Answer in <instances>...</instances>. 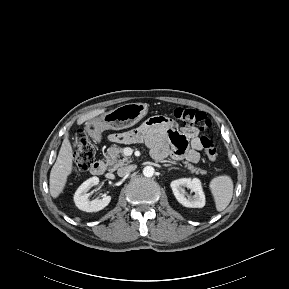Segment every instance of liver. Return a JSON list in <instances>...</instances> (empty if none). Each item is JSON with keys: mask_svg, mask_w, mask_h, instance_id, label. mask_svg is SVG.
I'll return each mask as SVG.
<instances>
[{"mask_svg": "<svg viewBox=\"0 0 289 289\" xmlns=\"http://www.w3.org/2000/svg\"><path fill=\"white\" fill-rule=\"evenodd\" d=\"M104 113V109H97L82 115L78 118L77 124L81 125L85 121L91 120ZM73 169V150L68 139V134L65 136L57 160L50 172L49 188L53 198H57L66 185L67 178Z\"/></svg>", "mask_w": 289, "mask_h": 289, "instance_id": "liver-1", "label": "liver"}]
</instances>
